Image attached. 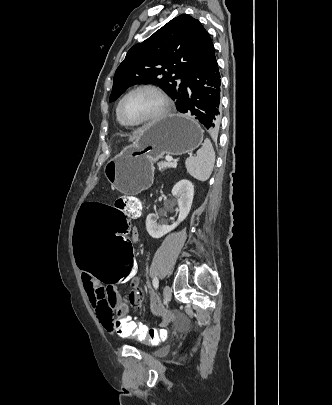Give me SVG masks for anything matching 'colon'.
<instances>
[{
	"label": "colon",
	"mask_w": 332,
	"mask_h": 405,
	"mask_svg": "<svg viewBox=\"0 0 332 405\" xmlns=\"http://www.w3.org/2000/svg\"><path fill=\"white\" fill-rule=\"evenodd\" d=\"M140 199L125 195L110 202H82L77 220H72L74 257L83 275H95L96 281H104L105 287H123L125 281H135L138 269L133 259L135 246L132 229L126 220V212L139 214ZM116 318L122 342H134L135 346L156 351L169 332L167 325H148L138 322L137 316L125 311Z\"/></svg>",
	"instance_id": "1"
}]
</instances>
